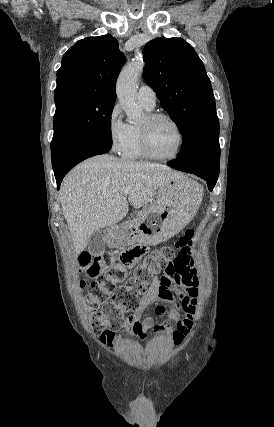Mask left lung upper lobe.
Masks as SVG:
<instances>
[{"label": "left lung upper lobe", "instance_id": "1", "mask_svg": "<svg viewBox=\"0 0 274 427\" xmlns=\"http://www.w3.org/2000/svg\"><path fill=\"white\" fill-rule=\"evenodd\" d=\"M144 79L183 136L179 160H220L219 119L210 79L195 50L182 38L145 45Z\"/></svg>", "mask_w": 274, "mask_h": 427}]
</instances>
